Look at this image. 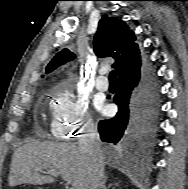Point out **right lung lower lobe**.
Segmentation results:
<instances>
[{"instance_id": "98d812e1", "label": "right lung lower lobe", "mask_w": 188, "mask_h": 189, "mask_svg": "<svg viewBox=\"0 0 188 189\" xmlns=\"http://www.w3.org/2000/svg\"><path fill=\"white\" fill-rule=\"evenodd\" d=\"M114 102L118 105L116 116L99 122L101 140L126 142L143 154L153 140L159 113L157 82L153 69L145 61L139 71L118 79Z\"/></svg>"}]
</instances>
